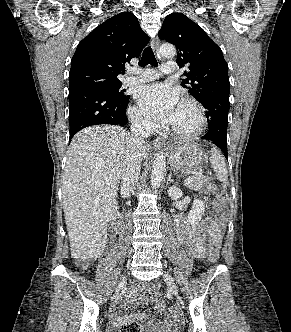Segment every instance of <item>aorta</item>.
<instances>
[{
    "instance_id": "obj_1",
    "label": "aorta",
    "mask_w": 291,
    "mask_h": 332,
    "mask_svg": "<svg viewBox=\"0 0 291 332\" xmlns=\"http://www.w3.org/2000/svg\"><path fill=\"white\" fill-rule=\"evenodd\" d=\"M159 54L164 58H172L176 55V48L171 44H162L159 49ZM166 172V160L163 153H158L155 157L152 173H151V188L157 189L160 187Z\"/></svg>"
}]
</instances>
